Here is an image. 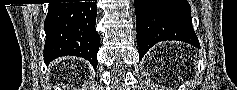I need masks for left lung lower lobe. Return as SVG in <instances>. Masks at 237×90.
I'll list each match as a JSON object with an SVG mask.
<instances>
[{
  "instance_id": "left-lung-lower-lobe-1",
  "label": "left lung lower lobe",
  "mask_w": 237,
  "mask_h": 90,
  "mask_svg": "<svg viewBox=\"0 0 237 90\" xmlns=\"http://www.w3.org/2000/svg\"><path fill=\"white\" fill-rule=\"evenodd\" d=\"M139 60L159 41L177 40L200 47L187 0H134Z\"/></svg>"
}]
</instances>
